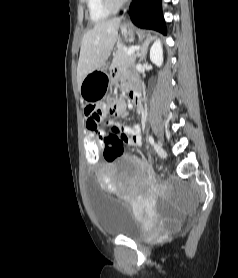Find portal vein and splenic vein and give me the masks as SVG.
I'll return each mask as SVG.
<instances>
[{
	"mask_svg": "<svg viewBox=\"0 0 238 278\" xmlns=\"http://www.w3.org/2000/svg\"><path fill=\"white\" fill-rule=\"evenodd\" d=\"M139 48V46H131L127 51V55H132L135 51L139 50Z\"/></svg>",
	"mask_w": 238,
	"mask_h": 278,
	"instance_id": "obj_1",
	"label": "portal vein and splenic vein"
}]
</instances>
